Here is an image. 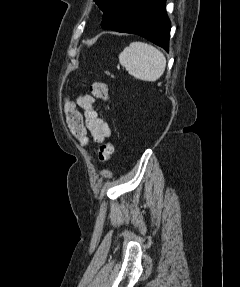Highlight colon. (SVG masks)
I'll use <instances>...</instances> for the list:
<instances>
[{
	"label": "colon",
	"instance_id": "obj_1",
	"mask_svg": "<svg viewBox=\"0 0 240 287\" xmlns=\"http://www.w3.org/2000/svg\"><path fill=\"white\" fill-rule=\"evenodd\" d=\"M90 92L94 98L102 101H108L110 93L105 83L93 81L90 84ZM66 120L69 130L74 138L81 144L86 145L88 142L87 131L84 125L82 114L75 109L74 104L70 101L65 103ZM114 152V145L111 142L102 144L98 151V157L101 163H107Z\"/></svg>",
	"mask_w": 240,
	"mask_h": 287
}]
</instances>
